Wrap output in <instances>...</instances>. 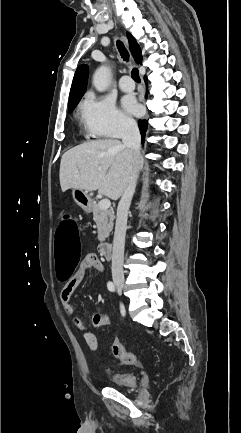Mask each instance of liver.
<instances>
[{
  "label": "liver",
  "mask_w": 241,
  "mask_h": 433,
  "mask_svg": "<svg viewBox=\"0 0 241 433\" xmlns=\"http://www.w3.org/2000/svg\"><path fill=\"white\" fill-rule=\"evenodd\" d=\"M135 163L134 151L115 139L78 145L61 158V190H98L100 194L117 200L135 171Z\"/></svg>",
  "instance_id": "1"
}]
</instances>
